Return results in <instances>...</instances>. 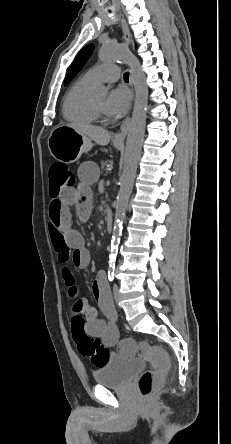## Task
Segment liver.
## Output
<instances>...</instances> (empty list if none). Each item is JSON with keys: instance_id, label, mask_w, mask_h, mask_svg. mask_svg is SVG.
Masks as SVG:
<instances>
[{"instance_id": "obj_1", "label": "liver", "mask_w": 231, "mask_h": 444, "mask_svg": "<svg viewBox=\"0 0 231 444\" xmlns=\"http://www.w3.org/2000/svg\"><path fill=\"white\" fill-rule=\"evenodd\" d=\"M67 126L87 136L89 139L101 146H106L110 142L111 134L101 127L82 123L68 124Z\"/></svg>"}]
</instances>
